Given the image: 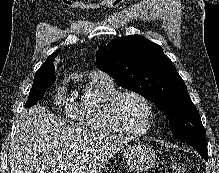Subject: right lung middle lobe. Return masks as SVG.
<instances>
[{
  "label": "right lung middle lobe",
  "mask_w": 219,
  "mask_h": 173,
  "mask_svg": "<svg viewBox=\"0 0 219 173\" xmlns=\"http://www.w3.org/2000/svg\"><path fill=\"white\" fill-rule=\"evenodd\" d=\"M54 73L55 71L36 72L25 108L34 105L44 95L45 90L55 82L56 76Z\"/></svg>",
  "instance_id": "dd1d6c3e"
}]
</instances>
